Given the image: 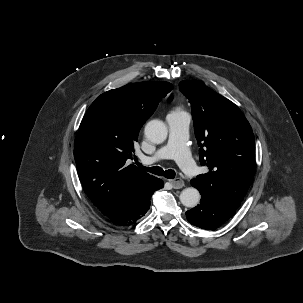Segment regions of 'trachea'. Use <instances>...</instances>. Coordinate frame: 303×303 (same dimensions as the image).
I'll list each match as a JSON object with an SVG mask.
<instances>
[{"instance_id":"obj_1","label":"trachea","mask_w":303,"mask_h":303,"mask_svg":"<svg viewBox=\"0 0 303 303\" xmlns=\"http://www.w3.org/2000/svg\"><path fill=\"white\" fill-rule=\"evenodd\" d=\"M138 166L147 172H150V173L158 175V176H164L165 178H168V179H173V178H175V175H176L175 171L172 169H168V170L164 171L159 166L145 167L140 163H138Z\"/></svg>"}]
</instances>
